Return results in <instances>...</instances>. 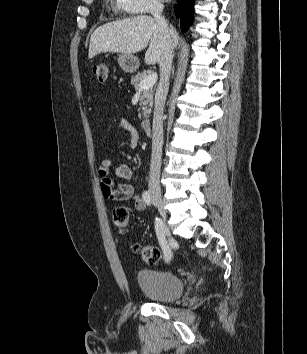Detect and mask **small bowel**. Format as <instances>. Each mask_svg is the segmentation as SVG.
Here are the masks:
<instances>
[{
    "instance_id": "obj_1",
    "label": "small bowel",
    "mask_w": 307,
    "mask_h": 354,
    "mask_svg": "<svg viewBox=\"0 0 307 354\" xmlns=\"http://www.w3.org/2000/svg\"><path fill=\"white\" fill-rule=\"evenodd\" d=\"M121 132L128 134L130 147H135L138 144L140 133L127 119H122L117 125H115L110 130L109 135L114 137ZM111 170V161L108 159L103 160L98 171L101 177L100 186L103 196L112 201L130 203L138 211L145 210L146 203L143 197L135 192L134 186L130 183H123L119 185L115 184L114 181L108 176ZM113 173L117 178L124 180H131L133 177V171L127 165L117 166L114 168Z\"/></svg>"
}]
</instances>
